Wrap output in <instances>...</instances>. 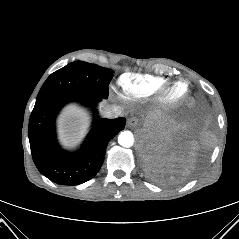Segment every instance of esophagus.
<instances>
[{"label":"esophagus","instance_id":"obj_1","mask_svg":"<svg viewBox=\"0 0 239 239\" xmlns=\"http://www.w3.org/2000/svg\"><path fill=\"white\" fill-rule=\"evenodd\" d=\"M138 121V118L133 116L128 119L127 125L128 127H135L138 124Z\"/></svg>","mask_w":239,"mask_h":239}]
</instances>
